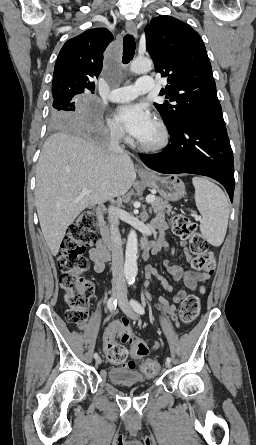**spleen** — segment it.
<instances>
[{"instance_id": "3e777b00", "label": "spleen", "mask_w": 256, "mask_h": 445, "mask_svg": "<svg viewBox=\"0 0 256 445\" xmlns=\"http://www.w3.org/2000/svg\"><path fill=\"white\" fill-rule=\"evenodd\" d=\"M195 202L202 215L200 231L213 246L224 241L228 218L229 203L225 193L216 184L202 177H193Z\"/></svg>"}]
</instances>
